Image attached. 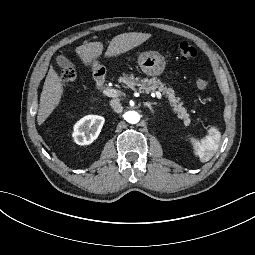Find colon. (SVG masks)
<instances>
[{
  "instance_id": "colon-1",
  "label": "colon",
  "mask_w": 255,
  "mask_h": 255,
  "mask_svg": "<svg viewBox=\"0 0 255 255\" xmlns=\"http://www.w3.org/2000/svg\"><path fill=\"white\" fill-rule=\"evenodd\" d=\"M176 51L178 56L184 61L194 59L197 55L196 48L187 42L180 43ZM60 79L65 85L70 84L75 79V71L69 67L62 69ZM196 85L199 90H205L208 86V81L204 78H199L196 81Z\"/></svg>"
}]
</instances>
